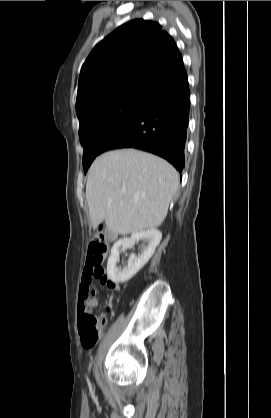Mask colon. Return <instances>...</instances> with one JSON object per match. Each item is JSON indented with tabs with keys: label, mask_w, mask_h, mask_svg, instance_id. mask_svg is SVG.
Instances as JSON below:
<instances>
[{
	"label": "colon",
	"mask_w": 271,
	"mask_h": 418,
	"mask_svg": "<svg viewBox=\"0 0 271 418\" xmlns=\"http://www.w3.org/2000/svg\"><path fill=\"white\" fill-rule=\"evenodd\" d=\"M108 249L107 239L103 232H96L88 247L86 271L90 284L93 279L106 282L107 277L102 267ZM83 299L89 300V288L84 291ZM109 306L106 307L108 309ZM81 344L85 349L92 348L98 341L100 332L106 324L104 317L94 315L90 310L82 309L78 315Z\"/></svg>",
	"instance_id": "5ec220e1"
}]
</instances>
